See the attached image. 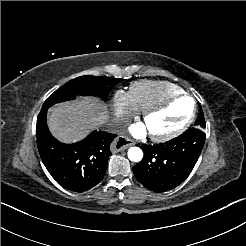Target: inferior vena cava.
I'll return each instance as SVG.
<instances>
[{"label":"inferior vena cava","instance_id":"1","mask_svg":"<svg viewBox=\"0 0 246 246\" xmlns=\"http://www.w3.org/2000/svg\"><path fill=\"white\" fill-rule=\"evenodd\" d=\"M115 127H117V124L116 123H110V124H108V131L111 132V133L118 132V130L115 129Z\"/></svg>","mask_w":246,"mask_h":246}]
</instances>
